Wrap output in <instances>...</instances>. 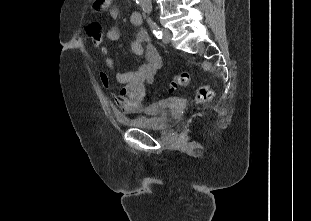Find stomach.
Here are the masks:
<instances>
[{
	"instance_id": "1",
	"label": "stomach",
	"mask_w": 311,
	"mask_h": 221,
	"mask_svg": "<svg viewBox=\"0 0 311 221\" xmlns=\"http://www.w3.org/2000/svg\"><path fill=\"white\" fill-rule=\"evenodd\" d=\"M110 0H93V8L95 10H104L106 6H109Z\"/></svg>"
}]
</instances>
